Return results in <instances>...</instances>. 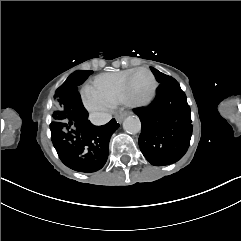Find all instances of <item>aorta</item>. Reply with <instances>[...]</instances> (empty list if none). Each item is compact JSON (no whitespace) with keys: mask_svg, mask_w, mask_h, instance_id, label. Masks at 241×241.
<instances>
[{"mask_svg":"<svg viewBox=\"0 0 241 241\" xmlns=\"http://www.w3.org/2000/svg\"><path fill=\"white\" fill-rule=\"evenodd\" d=\"M123 129L129 134H136L141 131L139 118L129 116L123 122Z\"/></svg>","mask_w":241,"mask_h":241,"instance_id":"aorta-1","label":"aorta"}]
</instances>
